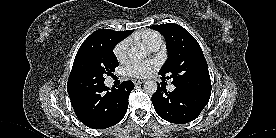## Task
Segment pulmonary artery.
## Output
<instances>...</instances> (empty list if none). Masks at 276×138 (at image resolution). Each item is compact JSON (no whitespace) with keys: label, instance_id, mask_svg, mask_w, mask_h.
Returning a JSON list of instances; mask_svg holds the SVG:
<instances>
[{"label":"pulmonary artery","instance_id":"obj_1","mask_svg":"<svg viewBox=\"0 0 276 138\" xmlns=\"http://www.w3.org/2000/svg\"><path fill=\"white\" fill-rule=\"evenodd\" d=\"M158 49V47H156V48H154L153 50L155 51V50H157ZM174 86L173 85H170L169 87H168V90L169 91H173L174 90Z\"/></svg>","mask_w":276,"mask_h":138}]
</instances>
